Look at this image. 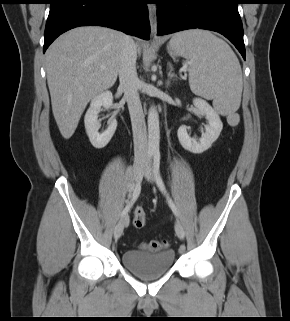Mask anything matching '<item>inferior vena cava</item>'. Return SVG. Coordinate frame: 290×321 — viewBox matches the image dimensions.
Instances as JSON below:
<instances>
[{"label":"inferior vena cava","mask_w":290,"mask_h":321,"mask_svg":"<svg viewBox=\"0 0 290 321\" xmlns=\"http://www.w3.org/2000/svg\"><path fill=\"white\" fill-rule=\"evenodd\" d=\"M137 46L130 36H125L120 55L119 87L124 92L130 113L134 154L136 158H145L148 153V140L145 117L139 98V79L136 71Z\"/></svg>","instance_id":"602c4592"}]
</instances>
